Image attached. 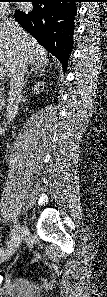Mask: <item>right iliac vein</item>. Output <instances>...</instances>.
Returning a JSON list of instances; mask_svg holds the SVG:
<instances>
[{"instance_id":"right-iliac-vein-1","label":"right iliac vein","mask_w":107,"mask_h":297,"mask_svg":"<svg viewBox=\"0 0 107 297\" xmlns=\"http://www.w3.org/2000/svg\"><path fill=\"white\" fill-rule=\"evenodd\" d=\"M16 227L20 233H24L27 231V229L24 226H21L20 224H18ZM14 252H15V247H11V248L7 249L6 251H4L2 256H0V261L1 262L6 261L13 255Z\"/></svg>"}]
</instances>
